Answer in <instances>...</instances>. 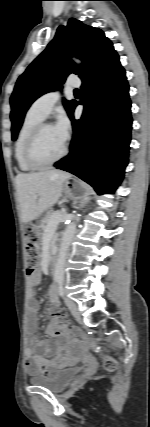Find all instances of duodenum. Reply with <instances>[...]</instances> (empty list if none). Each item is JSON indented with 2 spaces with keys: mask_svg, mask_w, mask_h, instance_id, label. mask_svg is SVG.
<instances>
[{
  "mask_svg": "<svg viewBox=\"0 0 150 427\" xmlns=\"http://www.w3.org/2000/svg\"><path fill=\"white\" fill-rule=\"evenodd\" d=\"M56 262H57V252L55 251L54 252V257L52 258V260H51V267L52 268H55V266H56Z\"/></svg>",
  "mask_w": 150,
  "mask_h": 427,
  "instance_id": "1",
  "label": "duodenum"
}]
</instances>
